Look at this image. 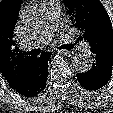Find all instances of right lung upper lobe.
Segmentation results:
<instances>
[{
	"label": "right lung upper lobe",
	"mask_w": 113,
	"mask_h": 113,
	"mask_svg": "<svg viewBox=\"0 0 113 113\" xmlns=\"http://www.w3.org/2000/svg\"><path fill=\"white\" fill-rule=\"evenodd\" d=\"M22 0H1L0 2V72L12 85L23 78L34 57L20 51L14 38Z\"/></svg>",
	"instance_id": "right-lung-upper-lobe-1"
}]
</instances>
